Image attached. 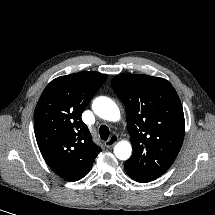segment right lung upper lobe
Wrapping results in <instances>:
<instances>
[{
  "mask_svg": "<svg viewBox=\"0 0 215 215\" xmlns=\"http://www.w3.org/2000/svg\"><path fill=\"white\" fill-rule=\"evenodd\" d=\"M106 78L97 72L58 77L37 103L34 130L38 147L48 166L65 180L83 178L101 152L81 115Z\"/></svg>",
  "mask_w": 215,
  "mask_h": 215,
  "instance_id": "right-lung-upper-lobe-1",
  "label": "right lung upper lobe"
}]
</instances>
